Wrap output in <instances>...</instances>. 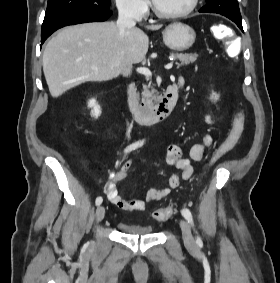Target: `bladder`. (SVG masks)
<instances>
[{
  "mask_svg": "<svg viewBox=\"0 0 280 283\" xmlns=\"http://www.w3.org/2000/svg\"><path fill=\"white\" fill-rule=\"evenodd\" d=\"M117 227L121 233L134 236L152 235L154 231V228L150 225L131 224L125 222H119Z\"/></svg>",
  "mask_w": 280,
  "mask_h": 283,
  "instance_id": "bladder-1",
  "label": "bladder"
}]
</instances>
